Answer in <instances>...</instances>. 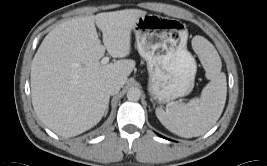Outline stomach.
I'll use <instances>...</instances> for the list:
<instances>
[{
	"instance_id": "1",
	"label": "stomach",
	"mask_w": 267,
	"mask_h": 166,
	"mask_svg": "<svg viewBox=\"0 0 267 166\" xmlns=\"http://www.w3.org/2000/svg\"><path fill=\"white\" fill-rule=\"evenodd\" d=\"M138 53L147 62L148 91L158 103L188 95L197 64L187 50L188 31L179 20L146 14L134 28Z\"/></svg>"
}]
</instances>
